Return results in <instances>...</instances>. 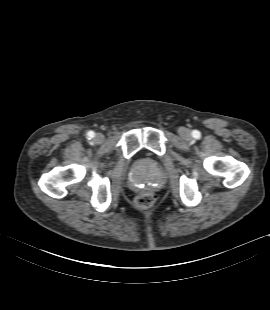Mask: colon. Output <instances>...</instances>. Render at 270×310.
Masks as SVG:
<instances>
[{
    "label": "colon",
    "mask_w": 270,
    "mask_h": 310,
    "mask_svg": "<svg viewBox=\"0 0 270 310\" xmlns=\"http://www.w3.org/2000/svg\"><path fill=\"white\" fill-rule=\"evenodd\" d=\"M155 201V196L152 192L146 191L138 195L135 199V204L139 208H148L150 207Z\"/></svg>",
    "instance_id": "colon-1"
}]
</instances>
